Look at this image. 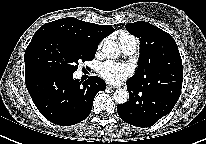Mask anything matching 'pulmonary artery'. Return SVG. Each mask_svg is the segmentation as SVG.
Listing matches in <instances>:
<instances>
[{
	"label": "pulmonary artery",
	"mask_w": 206,
	"mask_h": 144,
	"mask_svg": "<svg viewBox=\"0 0 206 144\" xmlns=\"http://www.w3.org/2000/svg\"><path fill=\"white\" fill-rule=\"evenodd\" d=\"M137 41L134 38L128 39L122 43V48L127 55H131L137 50Z\"/></svg>",
	"instance_id": "e3ab8cb5"
}]
</instances>
